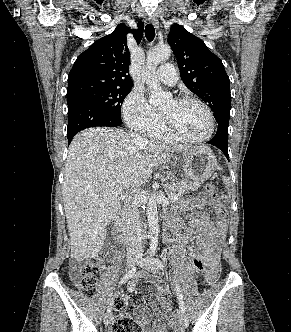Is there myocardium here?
Masks as SVG:
<instances>
[{
    "mask_svg": "<svg viewBox=\"0 0 291 332\" xmlns=\"http://www.w3.org/2000/svg\"><path fill=\"white\" fill-rule=\"evenodd\" d=\"M174 100L179 103L194 102V103L198 104L205 111V113L208 117L209 129H208V132L202 137L187 136V135L179 132L172 125V123L168 120V118L162 113L164 129L167 131V133L169 135H171L173 138H175L176 140H181V141H186V142L202 143V142L209 140L215 132V117H214V114H213L212 110L210 109V107L201 99L196 98L194 96H189V95L178 96Z\"/></svg>",
    "mask_w": 291,
    "mask_h": 332,
    "instance_id": "f54148a6",
    "label": "myocardium"
}]
</instances>
